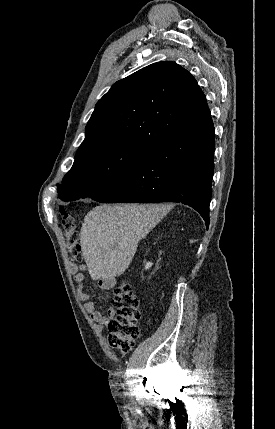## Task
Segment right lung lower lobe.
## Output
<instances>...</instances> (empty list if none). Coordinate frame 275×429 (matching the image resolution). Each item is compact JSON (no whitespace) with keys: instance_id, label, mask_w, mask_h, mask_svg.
<instances>
[{"instance_id":"1","label":"right lung lower lobe","mask_w":275,"mask_h":429,"mask_svg":"<svg viewBox=\"0 0 275 429\" xmlns=\"http://www.w3.org/2000/svg\"><path fill=\"white\" fill-rule=\"evenodd\" d=\"M214 126L173 138L153 150L132 172L91 198L104 203L181 202L209 226L214 173Z\"/></svg>"}]
</instances>
